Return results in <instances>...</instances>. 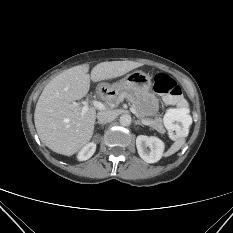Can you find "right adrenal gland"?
Segmentation results:
<instances>
[{
    "instance_id": "obj_1",
    "label": "right adrenal gland",
    "mask_w": 233,
    "mask_h": 233,
    "mask_svg": "<svg viewBox=\"0 0 233 233\" xmlns=\"http://www.w3.org/2000/svg\"><path fill=\"white\" fill-rule=\"evenodd\" d=\"M97 124H99V125H100L101 123L97 122ZM103 125H104V124H101V126H103Z\"/></svg>"
}]
</instances>
